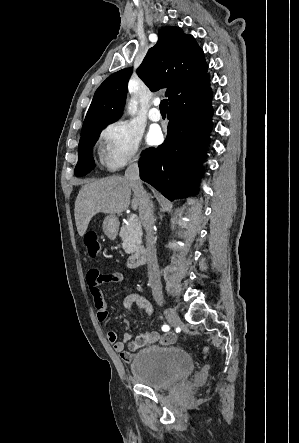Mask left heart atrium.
<instances>
[{"label": "left heart atrium", "mask_w": 299, "mask_h": 443, "mask_svg": "<svg viewBox=\"0 0 299 443\" xmlns=\"http://www.w3.org/2000/svg\"><path fill=\"white\" fill-rule=\"evenodd\" d=\"M161 139V131L158 127H152L147 133V143L149 145L157 144Z\"/></svg>", "instance_id": "39dd6f15"}]
</instances>
